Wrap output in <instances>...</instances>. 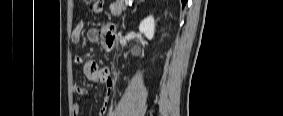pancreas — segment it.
I'll list each match as a JSON object with an SVG mask.
<instances>
[{
    "mask_svg": "<svg viewBox=\"0 0 283 116\" xmlns=\"http://www.w3.org/2000/svg\"><path fill=\"white\" fill-rule=\"evenodd\" d=\"M123 1L118 0L110 5L111 14L114 16H120L122 13Z\"/></svg>",
    "mask_w": 283,
    "mask_h": 116,
    "instance_id": "pancreas-1",
    "label": "pancreas"
}]
</instances>
